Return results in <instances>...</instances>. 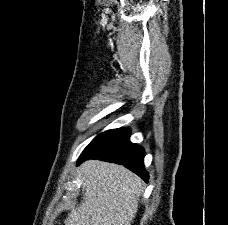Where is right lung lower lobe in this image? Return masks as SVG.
<instances>
[{"label":"right lung lower lobe","instance_id":"right-lung-lower-lobe-1","mask_svg":"<svg viewBox=\"0 0 228 225\" xmlns=\"http://www.w3.org/2000/svg\"><path fill=\"white\" fill-rule=\"evenodd\" d=\"M130 131L125 128L109 130L99 134L82 152L77 165L87 159H100L122 164L148 182L144 168V150L129 140Z\"/></svg>","mask_w":228,"mask_h":225}]
</instances>
